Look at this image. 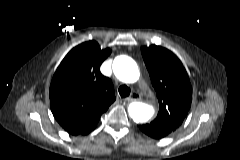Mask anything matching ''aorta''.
<instances>
[{
	"label": "aorta",
	"mask_w": 240,
	"mask_h": 160,
	"mask_svg": "<svg viewBox=\"0 0 240 160\" xmlns=\"http://www.w3.org/2000/svg\"><path fill=\"white\" fill-rule=\"evenodd\" d=\"M113 72L124 83H134L139 78L136 62L129 56L121 55L114 59ZM130 117L137 123H144L151 119L154 108L142 102H133L128 107Z\"/></svg>",
	"instance_id": "1"
}]
</instances>
